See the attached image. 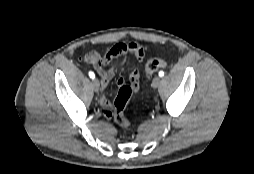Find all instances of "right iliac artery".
<instances>
[{
	"label": "right iliac artery",
	"mask_w": 254,
	"mask_h": 174,
	"mask_svg": "<svg viewBox=\"0 0 254 174\" xmlns=\"http://www.w3.org/2000/svg\"><path fill=\"white\" fill-rule=\"evenodd\" d=\"M89 76H90V78H92V79L95 78V74H94L92 71L89 72Z\"/></svg>",
	"instance_id": "1"
}]
</instances>
